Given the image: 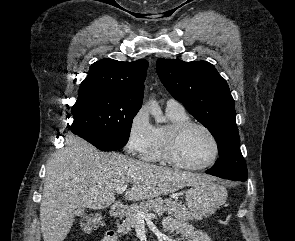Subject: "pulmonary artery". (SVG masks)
<instances>
[{"mask_svg":"<svg viewBox=\"0 0 295 241\" xmlns=\"http://www.w3.org/2000/svg\"><path fill=\"white\" fill-rule=\"evenodd\" d=\"M166 107L168 109L184 110L183 105L176 99L170 98L166 102Z\"/></svg>","mask_w":295,"mask_h":241,"instance_id":"obj_1","label":"pulmonary artery"}]
</instances>
